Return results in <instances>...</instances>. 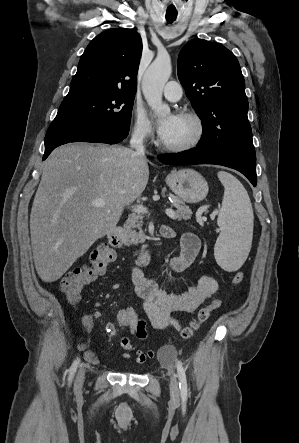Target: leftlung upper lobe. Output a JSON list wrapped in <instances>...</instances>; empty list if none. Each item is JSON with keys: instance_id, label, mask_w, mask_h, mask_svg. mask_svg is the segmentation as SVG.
I'll list each match as a JSON object with an SVG mask.
<instances>
[{"instance_id": "1", "label": "left lung upper lobe", "mask_w": 299, "mask_h": 443, "mask_svg": "<svg viewBox=\"0 0 299 443\" xmlns=\"http://www.w3.org/2000/svg\"><path fill=\"white\" fill-rule=\"evenodd\" d=\"M178 78L202 120L203 136L197 148L254 150L245 81L230 50L202 39L189 41L178 57Z\"/></svg>"}]
</instances>
